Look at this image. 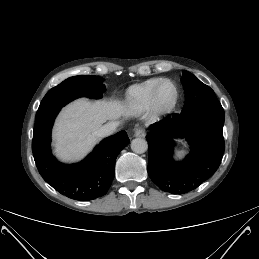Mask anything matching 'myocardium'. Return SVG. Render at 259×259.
Returning <instances> with one entry per match:
<instances>
[{
  "label": "myocardium",
  "mask_w": 259,
  "mask_h": 259,
  "mask_svg": "<svg viewBox=\"0 0 259 259\" xmlns=\"http://www.w3.org/2000/svg\"><path fill=\"white\" fill-rule=\"evenodd\" d=\"M165 84L171 85L174 89V99L169 105H162L159 101V91L161 87ZM178 101H179V89L177 85L172 80L163 79L159 82V84L155 87L153 91V94L151 97L150 110L152 111V113L156 115L165 116V115L171 114L175 110L178 104Z\"/></svg>",
  "instance_id": "1"
}]
</instances>
